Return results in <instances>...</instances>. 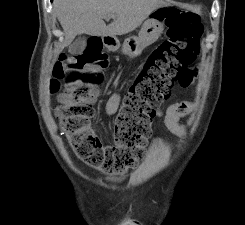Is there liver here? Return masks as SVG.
Returning <instances> with one entry per match:
<instances>
[{
	"mask_svg": "<svg viewBox=\"0 0 245 225\" xmlns=\"http://www.w3.org/2000/svg\"><path fill=\"white\" fill-rule=\"evenodd\" d=\"M166 6L164 0H55L54 12L63 28L62 47L77 35H124L139 27L156 9ZM116 16L107 25L103 18Z\"/></svg>",
	"mask_w": 245,
	"mask_h": 225,
	"instance_id": "6515ba94",
	"label": "liver"
}]
</instances>
